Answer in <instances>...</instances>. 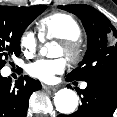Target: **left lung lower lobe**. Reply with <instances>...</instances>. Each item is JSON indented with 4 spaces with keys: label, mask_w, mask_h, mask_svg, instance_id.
<instances>
[{
    "label": "left lung lower lobe",
    "mask_w": 117,
    "mask_h": 117,
    "mask_svg": "<svg viewBox=\"0 0 117 117\" xmlns=\"http://www.w3.org/2000/svg\"><path fill=\"white\" fill-rule=\"evenodd\" d=\"M67 81H73L67 76ZM80 90L82 105L71 115L58 117H111L117 108V73L97 75Z\"/></svg>",
    "instance_id": "left-lung-lower-lobe-1"
}]
</instances>
